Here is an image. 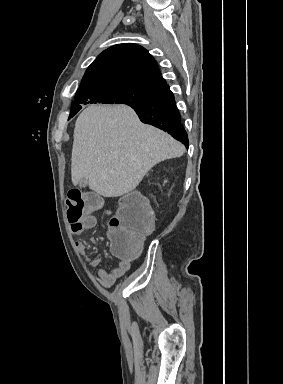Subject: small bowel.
Here are the masks:
<instances>
[{"label": "small bowel", "mask_w": 283, "mask_h": 384, "mask_svg": "<svg viewBox=\"0 0 283 384\" xmlns=\"http://www.w3.org/2000/svg\"><path fill=\"white\" fill-rule=\"evenodd\" d=\"M95 225H96L95 216L88 214L87 216H85L81 225H79L78 227L71 225V230L74 234H79L93 228ZM76 249L81 255L86 257V259L89 261L91 266L93 267L100 266L101 259L91 257L88 254L86 245L83 242L78 241L76 243ZM129 269H130V262L126 260L120 261L116 267L111 269L99 268L98 270L99 281L101 285H103L104 287H110L118 279L123 277L129 271Z\"/></svg>", "instance_id": "1"}]
</instances>
